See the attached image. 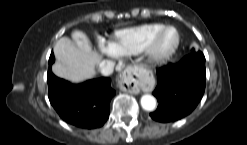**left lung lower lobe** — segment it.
Masks as SVG:
<instances>
[{
  "label": "left lung lower lobe",
  "mask_w": 247,
  "mask_h": 145,
  "mask_svg": "<svg viewBox=\"0 0 247 145\" xmlns=\"http://www.w3.org/2000/svg\"><path fill=\"white\" fill-rule=\"evenodd\" d=\"M157 76L153 94L159 105L150 116L159 122L179 120L194 110L204 94L205 57L201 51L191 53L176 65L158 69Z\"/></svg>",
  "instance_id": "1"
}]
</instances>
